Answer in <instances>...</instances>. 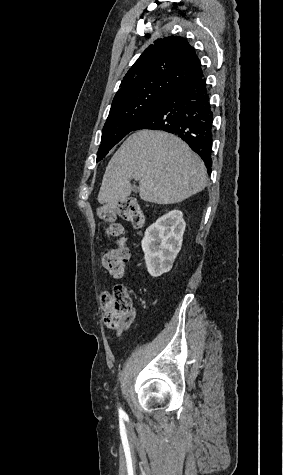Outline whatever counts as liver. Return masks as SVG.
<instances>
[{
  "instance_id": "obj_1",
  "label": "liver",
  "mask_w": 283,
  "mask_h": 475,
  "mask_svg": "<svg viewBox=\"0 0 283 475\" xmlns=\"http://www.w3.org/2000/svg\"><path fill=\"white\" fill-rule=\"evenodd\" d=\"M139 180L144 202L176 204L202 192L206 168L189 146L167 132L139 130L111 158L98 194L99 204L127 202L130 180Z\"/></svg>"
}]
</instances>
